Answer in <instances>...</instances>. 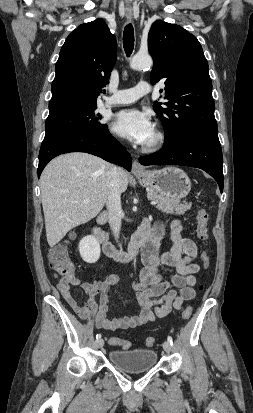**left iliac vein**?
Wrapping results in <instances>:
<instances>
[{
  "mask_svg": "<svg viewBox=\"0 0 253 413\" xmlns=\"http://www.w3.org/2000/svg\"><path fill=\"white\" fill-rule=\"evenodd\" d=\"M163 349L165 350L166 353L171 352V344L168 341H165L163 343Z\"/></svg>",
  "mask_w": 253,
  "mask_h": 413,
  "instance_id": "1",
  "label": "left iliac vein"
}]
</instances>
